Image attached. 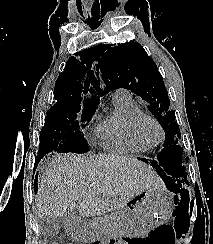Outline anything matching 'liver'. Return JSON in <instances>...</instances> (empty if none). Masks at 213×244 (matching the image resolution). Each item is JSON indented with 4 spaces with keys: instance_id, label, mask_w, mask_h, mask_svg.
<instances>
[{
    "instance_id": "6515ba94",
    "label": "liver",
    "mask_w": 213,
    "mask_h": 244,
    "mask_svg": "<svg viewBox=\"0 0 213 244\" xmlns=\"http://www.w3.org/2000/svg\"><path fill=\"white\" fill-rule=\"evenodd\" d=\"M160 186L154 169L134 157L58 154L39 174L36 207L39 217L64 218L75 207L80 216L95 217Z\"/></svg>"
}]
</instances>
